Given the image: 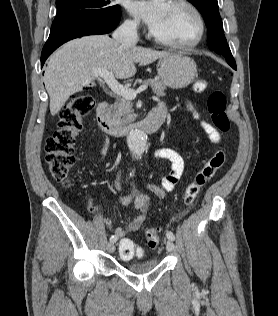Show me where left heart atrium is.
<instances>
[{
  "mask_svg": "<svg viewBox=\"0 0 278 316\" xmlns=\"http://www.w3.org/2000/svg\"><path fill=\"white\" fill-rule=\"evenodd\" d=\"M168 4L166 0H131L128 9L153 31L162 21Z\"/></svg>",
  "mask_w": 278,
  "mask_h": 316,
  "instance_id": "39dd6f15",
  "label": "left heart atrium"
}]
</instances>
